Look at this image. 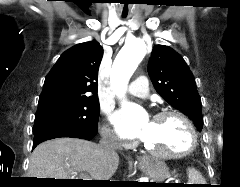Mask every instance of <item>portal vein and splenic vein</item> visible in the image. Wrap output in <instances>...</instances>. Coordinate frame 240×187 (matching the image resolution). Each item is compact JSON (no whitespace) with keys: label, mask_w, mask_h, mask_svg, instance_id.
Wrapping results in <instances>:
<instances>
[{"label":"portal vein and splenic vein","mask_w":240,"mask_h":187,"mask_svg":"<svg viewBox=\"0 0 240 187\" xmlns=\"http://www.w3.org/2000/svg\"><path fill=\"white\" fill-rule=\"evenodd\" d=\"M79 177L83 180H91V178H89V176L85 173H80Z\"/></svg>","instance_id":"1"}]
</instances>
